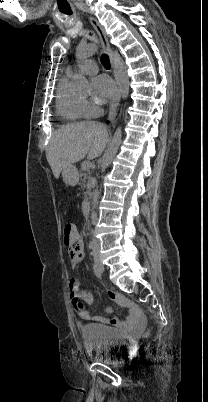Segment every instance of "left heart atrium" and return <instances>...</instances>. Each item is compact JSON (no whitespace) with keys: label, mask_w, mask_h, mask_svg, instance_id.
<instances>
[{"label":"left heart atrium","mask_w":208,"mask_h":402,"mask_svg":"<svg viewBox=\"0 0 208 402\" xmlns=\"http://www.w3.org/2000/svg\"><path fill=\"white\" fill-rule=\"evenodd\" d=\"M94 87L99 93V98L110 101L116 96V86L114 81L107 75L101 74L95 77Z\"/></svg>","instance_id":"left-heart-atrium-1"}]
</instances>
